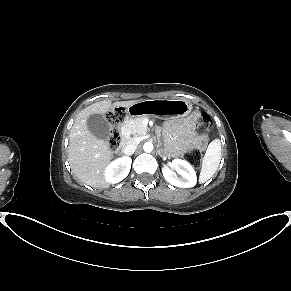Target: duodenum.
Masks as SVG:
<instances>
[{
	"mask_svg": "<svg viewBox=\"0 0 291 291\" xmlns=\"http://www.w3.org/2000/svg\"><path fill=\"white\" fill-rule=\"evenodd\" d=\"M141 114L140 111H134V112H131L128 117H127V121L132 119L133 117H135L136 115H139ZM121 138H122V143H121V147H117V153H122V149H126V143L128 141V136H127V133L126 132H122L121 133Z\"/></svg>",
	"mask_w": 291,
	"mask_h": 291,
	"instance_id": "410a0bca",
	"label": "duodenum"
}]
</instances>
